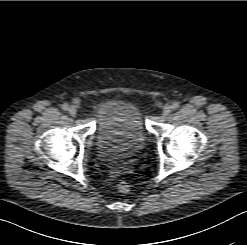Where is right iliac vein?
Returning <instances> with one entry per match:
<instances>
[{
  "label": "right iliac vein",
  "instance_id": "right-iliac-vein-1",
  "mask_svg": "<svg viewBox=\"0 0 247 245\" xmlns=\"http://www.w3.org/2000/svg\"><path fill=\"white\" fill-rule=\"evenodd\" d=\"M68 112H69V114H70L72 117H75L76 114H77V109H76L74 106H71V107L68 109Z\"/></svg>",
  "mask_w": 247,
  "mask_h": 245
}]
</instances>
